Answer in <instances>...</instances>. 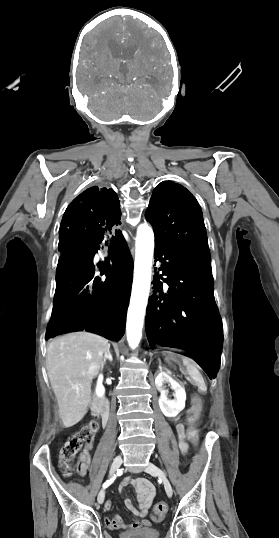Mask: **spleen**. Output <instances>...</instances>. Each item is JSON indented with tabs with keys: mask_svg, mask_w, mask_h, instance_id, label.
I'll return each instance as SVG.
<instances>
[{
	"mask_svg": "<svg viewBox=\"0 0 279 538\" xmlns=\"http://www.w3.org/2000/svg\"><path fill=\"white\" fill-rule=\"evenodd\" d=\"M167 354H173V352H167ZM181 360L184 366H187L188 374L192 376V379L197 381L198 393L204 394L206 392L204 380L201 378L200 372L195 368L194 364H192V360H190V358H185V356H181Z\"/></svg>",
	"mask_w": 279,
	"mask_h": 538,
	"instance_id": "3e777b00",
	"label": "spleen"
}]
</instances>
